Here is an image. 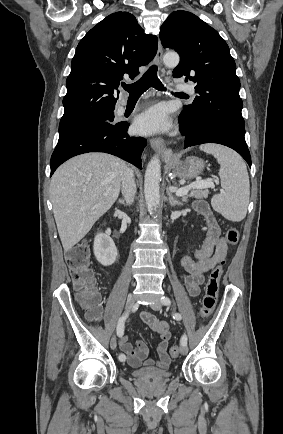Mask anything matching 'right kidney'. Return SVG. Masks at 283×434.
<instances>
[{
  "label": "right kidney",
  "instance_id": "right-kidney-1",
  "mask_svg": "<svg viewBox=\"0 0 283 434\" xmlns=\"http://www.w3.org/2000/svg\"><path fill=\"white\" fill-rule=\"evenodd\" d=\"M94 254L96 259L104 266L112 265L117 258V248L110 236L98 233L94 240Z\"/></svg>",
  "mask_w": 283,
  "mask_h": 434
}]
</instances>
